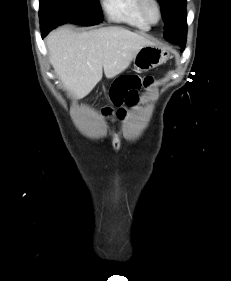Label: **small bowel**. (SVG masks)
<instances>
[{"mask_svg":"<svg viewBox=\"0 0 231 281\" xmlns=\"http://www.w3.org/2000/svg\"><path fill=\"white\" fill-rule=\"evenodd\" d=\"M155 84V78L151 75L141 76L138 74H121L111 83L109 97L111 103L116 107V115L120 119L126 117L124 106L135 107L140 101V91L148 89ZM105 115H112L113 110L110 107L103 109Z\"/></svg>","mask_w":231,"mask_h":281,"instance_id":"small-bowel-1","label":"small bowel"}]
</instances>
